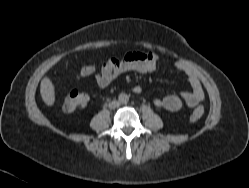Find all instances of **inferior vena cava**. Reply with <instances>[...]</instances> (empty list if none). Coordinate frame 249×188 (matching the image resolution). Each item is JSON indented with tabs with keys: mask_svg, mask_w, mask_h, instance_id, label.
Segmentation results:
<instances>
[{
	"mask_svg": "<svg viewBox=\"0 0 249 188\" xmlns=\"http://www.w3.org/2000/svg\"><path fill=\"white\" fill-rule=\"evenodd\" d=\"M120 105V102L119 101H112L109 103V108L113 109V108H116Z\"/></svg>",
	"mask_w": 249,
	"mask_h": 188,
	"instance_id": "obj_1",
	"label": "inferior vena cava"
}]
</instances>
